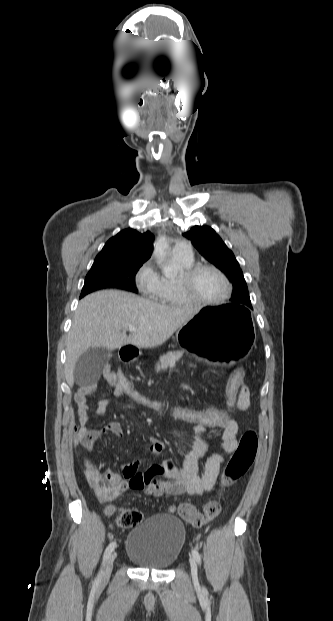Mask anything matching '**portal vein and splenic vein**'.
I'll list each match as a JSON object with an SVG mask.
<instances>
[{
	"mask_svg": "<svg viewBox=\"0 0 333 621\" xmlns=\"http://www.w3.org/2000/svg\"><path fill=\"white\" fill-rule=\"evenodd\" d=\"M128 330H129L130 332H135V331H137V327H135V326H130V327L128 328Z\"/></svg>",
	"mask_w": 333,
	"mask_h": 621,
	"instance_id": "18ae733b",
	"label": "portal vein and splenic vein"
}]
</instances>
